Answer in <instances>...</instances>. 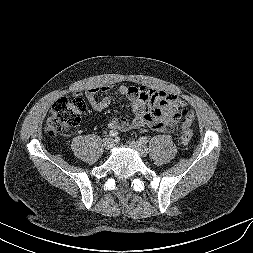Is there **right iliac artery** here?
<instances>
[{"label": "right iliac artery", "mask_w": 253, "mask_h": 253, "mask_svg": "<svg viewBox=\"0 0 253 253\" xmlns=\"http://www.w3.org/2000/svg\"><path fill=\"white\" fill-rule=\"evenodd\" d=\"M118 135V131H116V130H110V132H109V136L110 137H116Z\"/></svg>", "instance_id": "obj_1"}]
</instances>
